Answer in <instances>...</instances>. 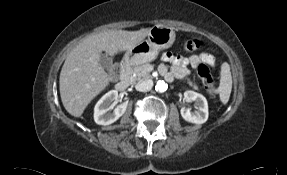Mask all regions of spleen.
<instances>
[{
    "label": "spleen",
    "instance_id": "spleen-1",
    "mask_svg": "<svg viewBox=\"0 0 287 175\" xmlns=\"http://www.w3.org/2000/svg\"><path fill=\"white\" fill-rule=\"evenodd\" d=\"M231 90H232V76L230 66L227 62H224L221 65V78L217 90L219 93L220 101L223 104H227V102L229 101Z\"/></svg>",
    "mask_w": 287,
    "mask_h": 175
}]
</instances>
